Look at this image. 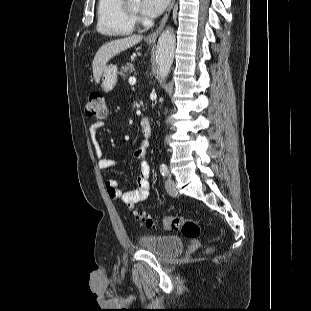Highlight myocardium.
<instances>
[{"mask_svg": "<svg viewBox=\"0 0 311 311\" xmlns=\"http://www.w3.org/2000/svg\"><path fill=\"white\" fill-rule=\"evenodd\" d=\"M129 0H123V9L128 17V19L133 23L137 24L140 22V17L138 15V12H134L131 10V8L128 5Z\"/></svg>", "mask_w": 311, "mask_h": 311, "instance_id": "1", "label": "myocardium"}]
</instances>
